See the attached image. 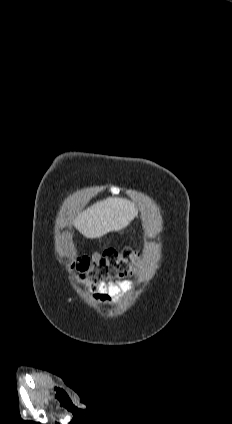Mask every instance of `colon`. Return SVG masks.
Segmentation results:
<instances>
[{
    "mask_svg": "<svg viewBox=\"0 0 232 424\" xmlns=\"http://www.w3.org/2000/svg\"><path fill=\"white\" fill-rule=\"evenodd\" d=\"M140 253L125 248L109 249L92 256H81L73 262V268L84 284H97L132 276L136 273Z\"/></svg>",
    "mask_w": 232,
    "mask_h": 424,
    "instance_id": "obj_1",
    "label": "colon"
}]
</instances>
